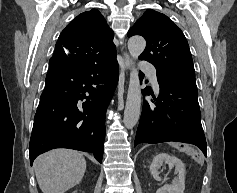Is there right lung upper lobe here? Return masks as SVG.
<instances>
[{"instance_id": "1", "label": "right lung upper lobe", "mask_w": 237, "mask_h": 193, "mask_svg": "<svg viewBox=\"0 0 237 193\" xmlns=\"http://www.w3.org/2000/svg\"><path fill=\"white\" fill-rule=\"evenodd\" d=\"M116 58L113 32L97 9L83 12L62 31L49 62L76 69Z\"/></svg>"}]
</instances>
